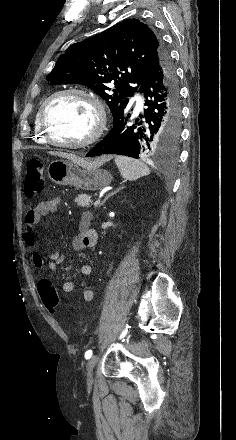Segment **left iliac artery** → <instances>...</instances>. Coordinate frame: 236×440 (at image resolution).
<instances>
[{
	"mask_svg": "<svg viewBox=\"0 0 236 440\" xmlns=\"http://www.w3.org/2000/svg\"><path fill=\"white\" fill-rule=\"evenodd\" d=\"M128 328H129V326L126 325L125 330H124V331L122 332V334L120 335V339L126 336L127 331H128ZM91 356H92V350H88V351H86V353H85V358H86V359H90Z\"/></svg>",
	"mask_w": 236,
	"mask_h": 440,
	"instance_id": "44dca946",
	"label": "left iliac artery"
}]
</instances>
